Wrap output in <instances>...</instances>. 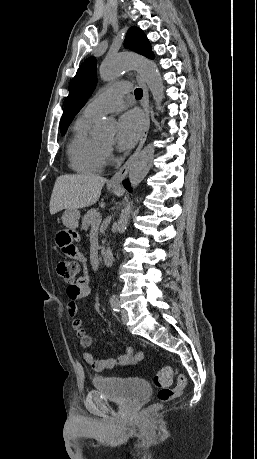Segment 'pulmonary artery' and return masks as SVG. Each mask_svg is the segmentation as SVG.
I'll use <instances>...</instances> for the list:
<instances>
[{
    "label": "pulmonary artery",
    "mask_w": 257,
    "mask_h": 459,
    "mask_svg": "<svg viewBox=\"0 0 257 459\" xmlns=\"http://www.w3.org/2000/svg\"><path fill=\"white\" fill-rule=\"evenodd\" d=\"M129 92L130 84L127 81L111 85L88 103L84 113L91 117H99L119 110L124 104V96Z\"/></svg>",
    "instance_id": "pulmonary-artery-1"
}]
</instances>
